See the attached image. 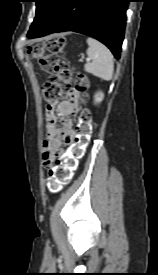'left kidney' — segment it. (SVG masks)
I'll list each match as a JSON object with an SVG mask.
<instances>
[{"label":"left kidney","mask_w":158,"mask_h":275,"mask_svg":"<svg viewBox=\"0 0 158 275\" xmlns=\"http://www.w3.org/2000/svg\"><path fill=\"white\" fill-rule=\"evenodd\" d=\"M104 94L102 92H99L95 95L94 100L95 103H99L103 100Z\"/></svg>","instance_id":"1"}]
</instances>
